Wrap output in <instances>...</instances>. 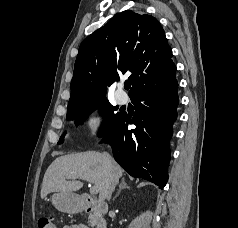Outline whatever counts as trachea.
I'll list each match as a JSON object with an SVG mask.
<instances>
[{"instance_id": "3493384b", "label": "trachea", "mask_w": 238, "mask_h": 228, "mask_svg": "<svg viewBox=\"0 0 238 228\" xmlns=\"http://www.w3.org/2000/svg\"><path fill=\"white\" fill-rule=\"evenodd\" d=\"M130 86H131L130 84H125L124 87H125L126 90H128L130 88Z\"/></svg>"}]
</instances>
